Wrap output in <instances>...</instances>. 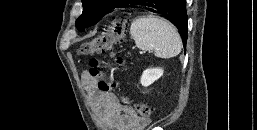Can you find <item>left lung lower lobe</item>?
<instances>
[{
    "mask_svg": "<svg viewBox=\"0 0 257 130\" xmlns=\"http://www.w3.org/2000/svg\"><path fill=\"white\" fill-rule=\"evenodd\" d=\"M128 4L148 7L151 12L158 13L175 26L181 34L184 46L187 41V14L185 0H133Z\"/></svg>",
    "mask_w": 257,
    "mask_h": 130,
    "instance_id": "obj_1",
    "label": "left lung lower lobe"
}]
</instances>
